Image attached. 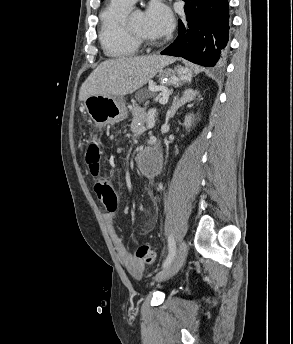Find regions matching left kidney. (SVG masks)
Instances as JSON below:
<instances>
[{
	"mask_svg": "<svg viewBox=\"0 0 293 344\" xmlns=\"http://www.w3.org/2000/svg\"><path fill=\"white\" fill-rule=\"evenodd\" d=\"M193 118H194L193 114H189L185 117L184 126L186 127V129H188L192 126Z\"/></svg>",
	"mask_w": 293,
	"mask_h": 344,
	"instance_id": "left-kidney-1",
	"label": "left kidney"
}]
</instances>
